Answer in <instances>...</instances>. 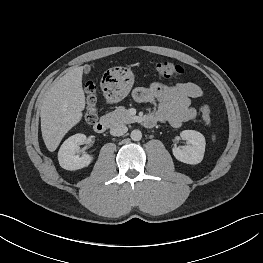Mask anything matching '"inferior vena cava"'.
I'll list each match as a JSON object with an SVG mask.
<instances>
[{"label": "inferior vena cava", "mask_w": 263, "mask_h": 263, "mask_svg": "<svg viewBox=\"0 0 263 263\" xmlns=\"http://www.w3.org/2000/svg\"><path fill=\"white\" fill-rule=\"evenodd\" d=\"M128 131V128L124 124H116L110 129V134L113 136H122Z\"/></svg>", "instance_id": "1"}]
</instances>
